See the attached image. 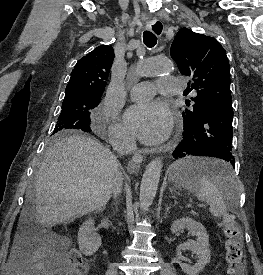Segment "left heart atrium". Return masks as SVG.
Segmentation results:
<instances>
[{"mask_svg": "<svg viewBox=\"0 0 263 275\" xmlns=\"http://www.w3.org/2000/svg\"><path fill=\"white\" fill-rule=\"evenodd\" d=\"M125 124L137 139L152 145L169 137L172 117L166 106L160 102H140L126 111Z\"/></svg>", "mask_w": 263, "mask_h": 275, "instance_id": "1", "label": "left heart atrium"}]
</instances>
